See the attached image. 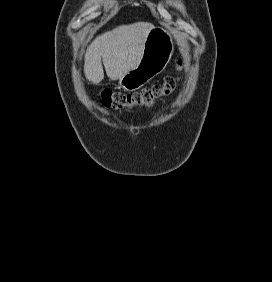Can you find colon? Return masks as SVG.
I'll list each match as a JSON object with an SVG mask.
<instances>
[{"label": "colon", "instance_id": "1", "mask_svg": "<svg viewBox=\"0 0 272 282\" xmlns=\"http://www.w3.org/2000/svg\"><path fill=\"white\" fill-rule=\"evenodd\" d=\"M179 66L182 63L179 62ZM175 78L165 76L159 84L143 88L135 93H121L105 89L101 92V103L106 108L132 109L134 107H148L156 101L170 96L175 88Z\"/></svg>", "mask_w": 272, "mask_h": 282}]
</instances>
